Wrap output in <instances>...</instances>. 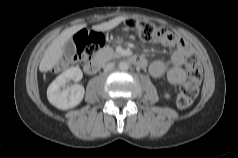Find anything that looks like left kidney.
Masks as SVG:
<instances>
[{
	"instance_id": "1",
	"label": "left kidney",
	"mask_w": 238,
	"mask_h": 158,
	"mask_svg": "<svg viewBox=\"0 0 238 158\" xmlns=\"http://www.w3.org/2000/svg\"><path fill=\"white\" fill-rule=\"evenodd\" d=\"M164 97H165L166 99H168V100L171 98V96H170L169 93H165V94H164Z\"/></svg>"
}]
</instances>
